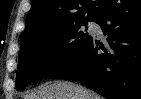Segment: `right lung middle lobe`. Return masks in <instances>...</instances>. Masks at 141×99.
I'll return each instance as SVG.
<instances>
[{"label": "right lung middle lobe", "mask_w": 141, "mask_h": 99, "mask_svg": "<svg viewBox=\"0 0 141 99\" xmlns=\"http://www.w3.org/2000/svg\"><path fill=\"white\" fill-rule=\"evenodd\" d=\"M81 22L22 44L18 57L16 87L19 90L43 77L54 76L68 66L92 39L78 31Z\"/></svg>", "instance_id": "1"}]
</instances>
